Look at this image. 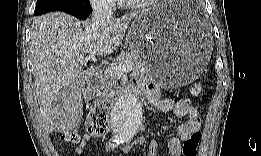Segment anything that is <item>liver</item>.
Wrapping results in <instances>:
<instances>
[{
  "label": "liver",
  "instance_id": "liver-1",
  "mask_svg": "<svg viewBox=\"0 0 261 156\" xmlns=\"http://www.w3.org/2000/svg\"><path fill=\"white\" fill-rule=\"evenodd\" d=\"M130 13L97 26L93 21H79L63 13L52 12L36 17L31 27L30 57L34 66V87L40 113L48 132L59 130L54 120L56 106L72 90L77 124L83 113L81 96L69 86L84 74L80 57H105L120 46L132 19ZM76 124V125H77Z\"/></svg>",
  "mask_w": 261,
  "mask_h": 156
}]
</instances>
